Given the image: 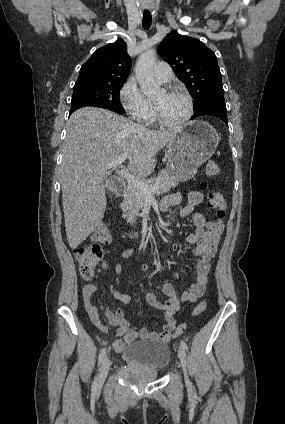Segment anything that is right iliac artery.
Masks as SVG:
<instances>
[{"label":"right iliac artery","mask_w":285,"mask_h":424,"mask_svg":"<svg viewBox=\"0 0 285 424\" xmlns=\"http://www.w3.org/2000/svg\"><path fill=\"white\" fill-rule=\"evenodd\" d=\"M105 355H106V349L104 348V349L101 350V352L99 354V357H98V366L101 364V362L104 359ZM97 386H98V378L96 377L95 380H94L92 389L93 390H96L97 389Z\"/></svg>","instance_id":"right-iliac-artery-1"}]
</instances>
